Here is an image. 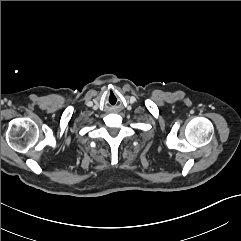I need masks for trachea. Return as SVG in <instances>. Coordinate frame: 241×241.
Wrapping results in <instances>:
<instances>
[{
    "label": "trachea",
    "instance_id": "obj_1",
    "mask_svg": "<svg viewBox=\"0 0 241 241\" xmlns=\"http://www.w3.org/2000/svg\"><path fill=\"white\" fill-rule=\"evenodd\" d=\"M108 102L111 104V105H114L116 102H117V96L115 94H110L108 96Z\"/></svg>",
    "mask_w": 241,
    "mask_h": 241
}]
</instances>
